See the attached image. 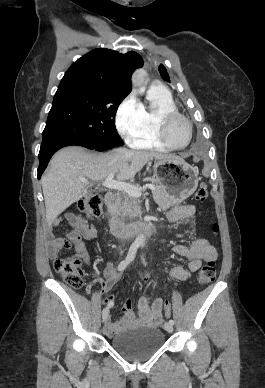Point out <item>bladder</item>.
I'll list each match as a JSON object with an SVG mask.
<instances>
[{
    "label": "bladder",
    "instance_id": "1",
    "mask_svg": "<svg viewBox=\"0 0 265 388\" xmlns=\"http://www.w3.org/2000/svg\"><path fill=\"white\" fill-rule=\"evenodd\" d=\"M165 340L164 334L155 327L122 331L111 339L112 348L124 357L141 360L156 352Z\"/></svg>",
    "mask_w": 265,
    "mask_h": 388
}]
</instances>
